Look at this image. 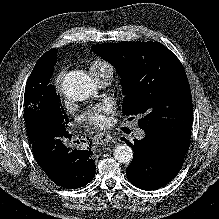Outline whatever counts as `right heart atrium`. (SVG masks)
<instances>
[{
  "label": "right heart atrium",
  "instance_id": "obj_1",
  "mask_svg": "<svg viewBox=\"0 0 219 219\" xmlns=\"http://www.w3.org/2000/svg\"><path fill=\"white\" fill-rule=\"evenodd\" d=\"M64 71H61L59 74H58V76H57V78H56V85L57 86H59L60 84H61V82H62V79H63V77H64Z\"/></svg>",
  "mask_w": 219,
  "mask_h": 219
}]
</instances>
